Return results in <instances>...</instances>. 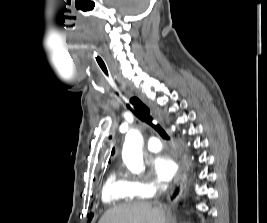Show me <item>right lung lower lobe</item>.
<instances>
[{
  "label": "right lung lower lobe",
  "instance_id": "1",
  "mask_svg": "<svg viewBox=\"0 0 267 223\" xmlns=\"http://www.w3.org/2000/svg\"><path fill=\"white\" fill-rule=\"evenodd\" d=\"M178 188L176 189V191L174 192V194H173V198L178 194Z\"/></svg>",
  "mask_w": 267,
  "mask_h": 223
}]
</instances>
